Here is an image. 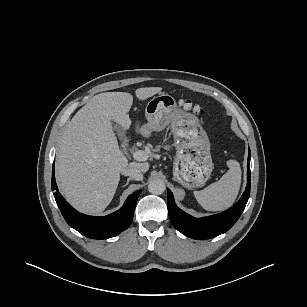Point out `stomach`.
Listing matches in <instances>:
<instances>
[{"label": "stomach", "mask_w": 307, "mask_h": 307, "mask_svg": "<svg viewBox=\"0 0 307 307\" xmlns=\"http://www.w3.org/2000/svg\"><path fill=\"white\" fill-rule=\"evenodd\" d=\"M147 123L142 135L161 131L170 125L176 147L173 176L183 187H200L210 178L213 163L210 142L197 116L178 109L175 99L164 93L151 99L145 108Z\"/></svg>", "instance_id": "obj_1"}]
</instances>
